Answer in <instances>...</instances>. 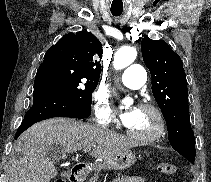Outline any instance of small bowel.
I'll return each mask as SVG.
<instances>
[{
    "label": "small bowel",
    "mask_w": 211,
    "mask_h": 182,
    "mask_svg": "<svg viewBox=\"0 0 211 182\" xmlns=\"http://www.w3.org/2000/svg\"><path fill=\"white\" fill-rule=\"evenodd\" d=\"M114 182H145L144 179L137 176L123 175L118 177Z\"/></svg>",
    "instance_id": "obj_1"
}]
</instances>
